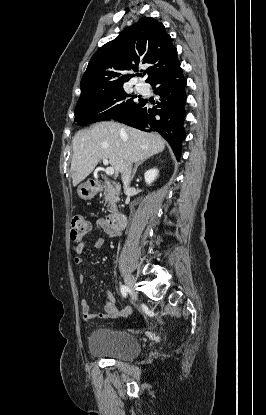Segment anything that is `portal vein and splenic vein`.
Segmentation results:
<instances>
[{"instance_id":"obj_1","label":"portal vein and splenic vein","mask_w":266,"mask_h":415,"mask_svg":"<svg viewBox=\"0 0 266 415\" xmlns=\"http://www.w3.org/2000/svg\"><path fill=\"white\" fill-rule=\"evenodd\" d=\"M103 164L106 165V166H108V164H109L108 160L107 159H103ZM105 173L107 175H113L114 174V168L113 167H109V166L106 167Z\"/></svg>"}]
</instances>
